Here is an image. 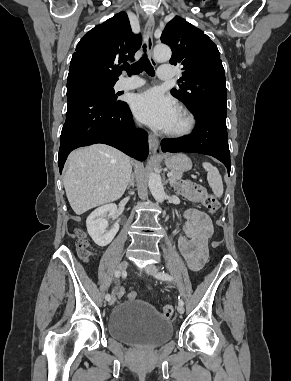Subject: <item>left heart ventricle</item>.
Instances as JSON below:
<instances>
[{
    "label": "left heart ventricle",
    "mask_w": 291,
    "mask_h": 381,
    "mask_svg": "<svg viewBox=\"0 0 291 381\" xmlns=\"http://www.w3.org/2000/svg\"><path fill=\"white\" fill-rule=\"evenodd\" d=\"M181 122H182L181 116L178 114V116L175 120V123L173 124L171 129L178 127L181 124Z\"/></svg>",
    "instance_id": "1"
}]
</instances>
